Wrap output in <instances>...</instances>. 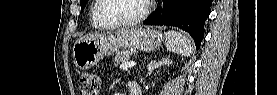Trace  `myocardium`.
I'll return each instance as SVG.
<instances>
[{"label": "myocardium", "instance_id": "obj_1", "mask_svg": "<svg viewBox=\"0 0 277 95\" xmlns=\"http://www.w3.org/2000/svg\"><path fill=\"white\" fill-rule=\"evenodd\" d=\"M105 0H99L98 4L93 8V18L95 21L100 23L104 27L112 28V27H122V26H130V25H136L140 22H142L150 11V4L149 0H142L143 1V11L136 17L130 18V19H116V20H108L103 18L99 14V8L103 5Z\"/></svg>", "mask_w": 277, "mask_h": 95}]
</instances>
